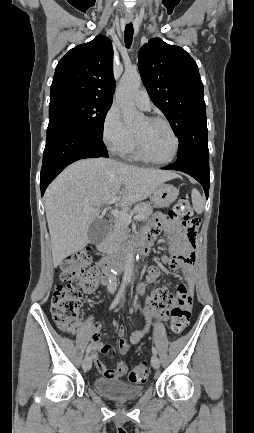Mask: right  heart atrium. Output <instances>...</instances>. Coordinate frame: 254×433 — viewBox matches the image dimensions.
Masks as SVG:
<instances>
[{"mask_svg": "<svg viewBox=\"0 0 254 433\" xmlns=\"http://www.w3.org/2000/svg\"><path fill=\"white\" fill-rule=\"evenodd\" d=\"M101 134L104 145L114 155H124L134 143V134L125 125L121 113L115 107L107 111Z\"/></svg>", "mask_w": 254, "mask_h": 433, "instance_id": "1", "label": "right heart atrium"}]
</instances>
